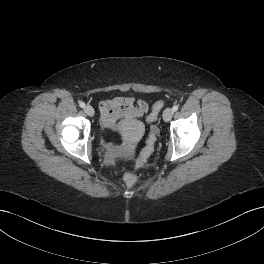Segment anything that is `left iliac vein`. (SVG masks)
<instances>
[{"mask_svg":"<svg viewBox=\"0 0 264 264\" xmlns=\"http://www.w3.org/2000/svg\"><path fill=\"white\" fill-rule=\"evenodd\" d=\"M174 114V111L173 109L171 108H166L163 112V119L166 121V122H169L172 118Z\"/></svg>","mask_w":264,"mask_h":264,"instance_id":"obj_1","label":"left iliac vein"}]
</instances>
